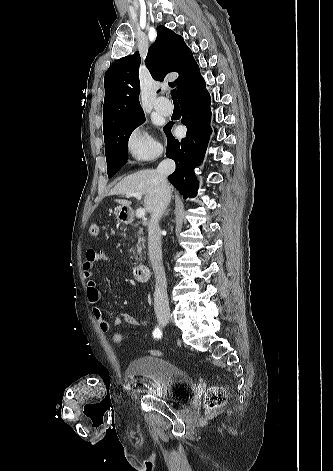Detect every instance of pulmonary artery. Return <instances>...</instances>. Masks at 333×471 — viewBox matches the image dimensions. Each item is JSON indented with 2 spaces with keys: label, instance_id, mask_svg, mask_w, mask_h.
<instances>
[{
  "label": "pulmonary artery",
  "instance_id": "pulmonary-artery-1",
  "mask_svg": "<svg viewBox=\"0 0 333 471\" xmlns=\"http://www.w3.org/2000/svg\"><path fill=\"white\" fill-rule=\"evenodd\" d=\"M154 107L162 115H170L173 112V105L163 96L157 98Z\"/></svg>",
  "mask_w": 333,
  "mask_h": 471
}]
</instances>
